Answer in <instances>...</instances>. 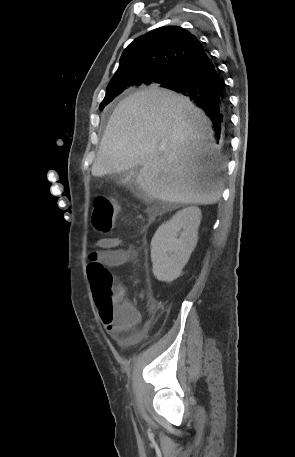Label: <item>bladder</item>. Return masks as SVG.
<instances>
[{"label": "bladder", "instance_id": "obj_1", "mask_svg": "<svg viewBox=\"0 0 295 457\" xmlns=\"http://www.w3.org/2000/svg\"><path fill=\"white\" fill-rule=\"evenodd\" d=\"M115 347H134V338H115Z\"/></svg>", "mask_w": 295, "mask_h": 457}]
</instances>
